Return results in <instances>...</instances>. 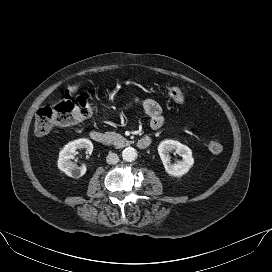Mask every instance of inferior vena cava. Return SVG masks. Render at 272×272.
<instances>
[{"label":"inferior vena cava","mask_w":272,"mask_h":272,"mask_svg":"<svg viewBox=\"0 0 272 272\" xmlns=\"http://www.w3.org/2000/svg\"><path fill=\"white\" fill-rule=\"evenodd\" d=\"M106 161L108 164H116L119 161V157L116 153L110 152L106 157Z\"/></svg>","instance_id":"602c4592"}]
</instances>
